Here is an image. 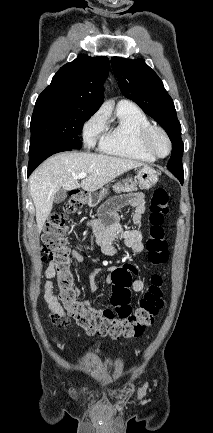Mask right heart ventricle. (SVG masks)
Here are the masks:
<instances>
[{
    "instance_id": "obj_1",
    "label": "right heart ventricle",
    "mask_w": 213,
    "mask_h": 433,
    "mask_svg": "<svg viewBox=\"0 0 213 433\" xmlns=\"http://www.w3.org/2000/svg\"><path fill=\"white\" fill-rule=\"evenodd\" d=\"M142 110L130 102H119L116 108V120L106 124L100 140L102 153L128 159L153 162L155 157L147 153L140 144V133L150 125Z\"/></svg>"
}]
</instances>
